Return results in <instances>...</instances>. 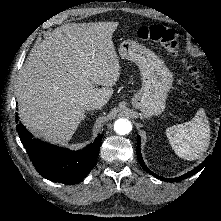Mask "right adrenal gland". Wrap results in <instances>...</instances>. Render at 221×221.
<instances>
[{
  "label": "right adrenal gland",
  "instance_id": "obj_1",
  "mask_svg": "<svg viewBox=\"0 0 221 221\" xmlns=\"http://www.w3.org/2000/svg\"><path fill=\"white\" fill-rule=\"evenodd\" d=\"M86 115H87V114H86ZM86 115H84L83 119H85V118H86Z\"/></svg>",
  "mask_w": 221,
  "mask_h": 221
}]
</instances>
